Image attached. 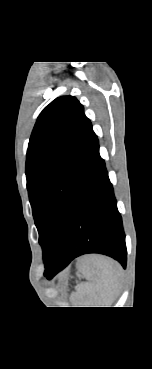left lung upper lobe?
<instances>
[{
    "mask_svg": "<svg viewBox=\"0 0 152 369\" xmlns=\"http://www.w3.org/2000/svg\"><path fill=\"white\" fill-rule=\"evenodd\" d=\"M97 136L74 96H61L39 115L30 137L26 178L44 262L62 244L72 205Z\"/></svg>",
    "mask_w": 152,
    "mask_h": 369,
    "instance_id": "obj_1",
    "label": "left lung upper lobe"
}]
</instances>
